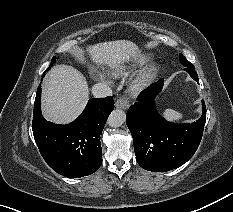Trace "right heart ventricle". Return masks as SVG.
Here are the masks:
<instances>
[{"mask_svg": "<svg viewBox=\"0 0 233 212\" xmlns=\"http://www.w3.org/2000/svg\"><path fill=\"white\" fill-rule=\"evenodd\" d=\"M150 60V55L148 54H139L137 56L134 57L133 59V66H140L145 64L146 62H148ZM126 69L124 67H120V68H116L114 70L115 74H123L125 73Z\"/></svg>", "mask_w": 233, "mask_h": 212, "instance_id": "e07e8e85", "label": "right heart ventricle"}]
</instances>
